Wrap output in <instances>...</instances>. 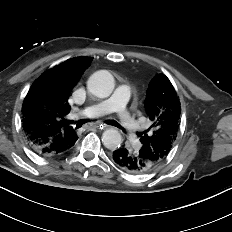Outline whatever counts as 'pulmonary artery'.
<instances>
[{
    "instance_id": "obj_1",
    "label": "pulmonary artery",
    "mask_w": 232,
    "mask_h": 232,
    "mask_svg": "<svg viewBox=\"0 0 232 232\" xmlns=\"http://www.w3.org/2000/svg\"><path fill=\"white\" fill-rule=\"evenodd\" d=\"M131 96V89L128 85H120L116 88L113 96L100 103L90 105L83 109L80 114L84 116H100L117 111L119 113V121L126 129L127 134L133 140L136 148L139 149L136 132L139 127L138 122L129 113L126 104Z\"/></svg>"
}]
</instances>
